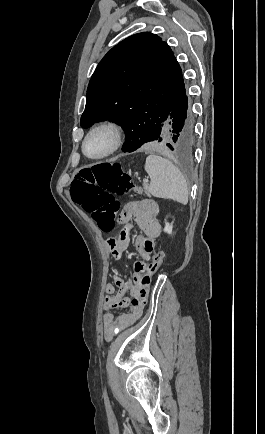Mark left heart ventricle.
<instances>
[{"mask_svg":"<svg viewBox=\"0 0 265 434\" xmlns=\"http://www.w3.org/2000/svg\"><path fill=\"white\" fill-rule=\"evenodd\" d=\"M110 139L107 134L101 133L89 139L85 146L86 153L91 156L103 153L109 146Z\"/></svg>","mask_w":265,"mask_h":434,"instance_id":"left-heart-ventricle-1","label":"left heart ventricle"}]
</instances>
